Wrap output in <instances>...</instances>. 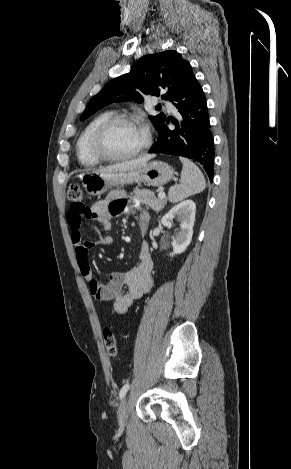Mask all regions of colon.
Here are the masks:
<instances>
[{"mask_svg":"<svg viewBox=\"0 0 291 469\" xmlns=\"http://www.w3.org/2000/svg\"><path fill=\"white\" fill-rule=\"evenodd\" d=\"M68 199L72 202V207H74L78 212L88 214L89 208L85 207L82 204L83 191L80 185L72 184L68 189ZM105 349L110 357L118 356V345L115 338V335L110 329H105L103 333Z\"/></svg>","mask_w":291,"mask_h":469,"instance_id":"obj_1","label":"colon"}]
</instances>
